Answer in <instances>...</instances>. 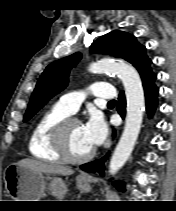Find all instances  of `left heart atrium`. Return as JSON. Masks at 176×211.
I'll return each instance as SVG.
<instances>
[{
	"instance_id": "1",
	"label": "left heart atrium",
	"mask_w": 176,
	"mask_h": 211,
	"mask_svg": "<svg viewBox=\"0 0 176 211\" xmlns=\"http://www.w3.org/2000/svg\"><path fill=\"white\" fill-rule=\"evenodd\" d=\"M82 127L85 139L92 147L99 146L106 139L107 126L101 116L92 115Z\"/></svg>"
}]
</instances>
